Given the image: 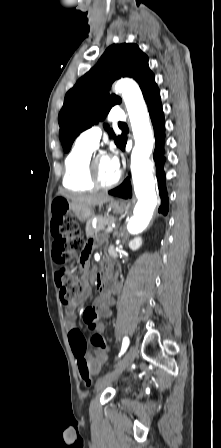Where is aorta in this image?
Masks as SVG:
<instances>
[{"mask_svg": "<svg viewBox=\"0 0 221 448\" xmlns=\"http://www.w3.org/2000/svg\"><path fill=\"white\" fill-rule=\"evenodd\" d=\"M115 90L122 93L135 140L131 154V173L138 201L127 229L130 233H138L147 227L157 205L153 165L149 160L154 144L153 131L147 107L137 83L133 80L122 79L116 83Z\"/></svg>", "mask_w": 221, "mask_h": 448, "instance_id": "obj_1", "label": "aorta"}]
</instances>
